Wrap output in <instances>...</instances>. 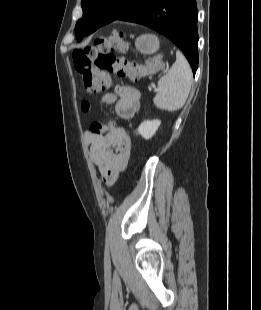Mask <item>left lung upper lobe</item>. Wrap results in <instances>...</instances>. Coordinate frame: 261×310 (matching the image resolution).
I'll use <instances>...</instances> for the list:
<instances>
[{
	"instance_id": "1",
	"label": "left lung upper lobe",
	"mask_w": 261,
	"mask_h": 310,
	"mask_svg": "<svg viewBox=\"0 0 261 310\" xmlns=\"http://www.w3.org/2000/svg\"><path fill=\"white\" fill-rule=\"evenodd\" d=\"M130 0H81L83 16L76 23V36L89 23H109L120 15L127 7Z\"/></svg>"
}]
</instances>
